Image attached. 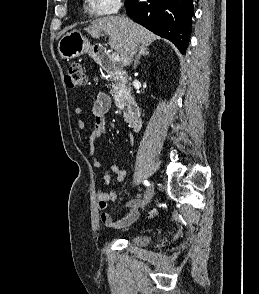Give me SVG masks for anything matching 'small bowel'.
I'll use <instances>...</instances> for the list:
<instances>
[{"label": "small bowel", "instance_id": "1", "mask_svg": "<svg viewBox=\"0 0 259 294\" xmlns=\"http://www.w3.org/2000/svg\"><path fill=\"white\" fill-rule=\"evenodd\" d=\"M111 107V98L108 94L100 92L95 97L91 114L94 119V127L88 134V147L89 154L92 159V163L96 168L103 170V186H109L112 183L111 174L115 175V182H123L128 178V172L120 169L117 165H105L95 157L96 142L105 132V115ZM74 114L78 117L82 116L83 109L80 107L75 108ZM77 126L81 130H85L86 125L83 120H78ZM99 208L101 210V221L110 229L121 230L130 224H132L137 216L138 210L141 205L139 198H133L126 203L127 212L120 219H114L107 212L109 202L115 199V193L113 190L105 191L100 190L97 194Z\"/></svg>", "mask_w": 259, "mask_h": 294}]
</instances>
